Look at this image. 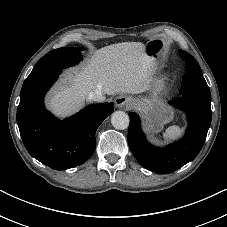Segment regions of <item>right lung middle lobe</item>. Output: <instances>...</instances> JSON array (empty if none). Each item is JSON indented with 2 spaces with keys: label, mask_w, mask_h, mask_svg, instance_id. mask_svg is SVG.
Masks as SVG:
<instances>
[{
  "label": "right lung middle lobe",
  "mask_w": 227,
  "mask_h": 227,
  "mask_svg": "<svg viewBox=\"0 0 227 227\" xmlns=\"http://www.w3.org/2000/svg\"><path fill=\"white\" fill-rule=\"evenodd\" d=\"M82 50H84V48L62 47L50 51L36 63L25 81L31 80L38 75L53 69H65L77 64L81 60L80 52Z\"/></svg>",
  "instance_id": "dd1d6c3e"
}]
</instances>
